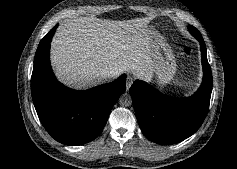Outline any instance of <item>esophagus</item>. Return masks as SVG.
Instances as JSON below:
<instances>
[{"label": "esophagus", "instance_id": "obj_1", "mask_svg": "<svg viewBox=\"0 0 237 169\" xmlns=\"http://www.w3.org/2000/svg\"><path fill=\"white\" fill-rule=\"evenodd\" d=\"M132 83H133V78L132 77H127V89H129L130 88V86L132 85Z\"/></svg>", "mask_w": 237, "mask_h": 169}]
</instances>
